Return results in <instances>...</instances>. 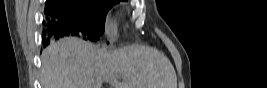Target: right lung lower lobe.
I'll return each instance as SVG.
<instances>
[{
	"instance_id": "98d812e1",
	"label": "right lung lower lobe",
	"mask_w": 267,
	"mask_h": 88,
	"mask_svg": "<svg viewBox=\"0 0 267 88\" xmlns=\"http://www.w3.org/2000/svg\"><path fill=\"white\" fill-rule=\"evenodd\" d=\"M49 22L46 24V31L43 33L45 36L43 42L46 46L50 40L59 39L62 36H82L84 39H90L91 41L98 40L97 37L92 35H85L77 29L71 22L66 20H56L48 18Z\"/></svg>"
}]
</instances>
